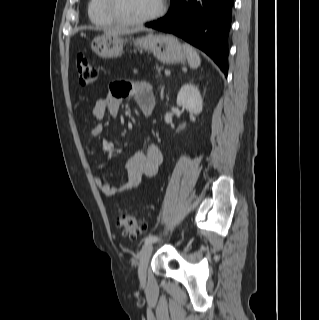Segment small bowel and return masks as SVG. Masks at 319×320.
I'll use <instances>...</instances> for the list:
<instances>
[{
    "mask_svg": "<svg viewBox=\"0 0 319 320\" xmlns=\"http://www.w3.org/2000/svg\"><path fill=\"white\" fill-rule=\"evenodd\" d=\"M133 97L144 113H149L154 107V91L151 85L145 82H132L117 80L110 84L108 94L96 101L92 116L96 124L90 130L92 138L103 134V126L100 121L108 113L112 117L118 115L121 103L124 99ZM162 163V153L156 144H148L145 151H137L126 161L127 178L118 186H113L101 177L95 178V183L106 197L123 194L137 189L144 177H154Z\"/></svg>",
    "mask_w": 319,
    "mask_h": 320,
    "instance_id": "obj_1",
    "label": "small bowel"
}]
</instances>
